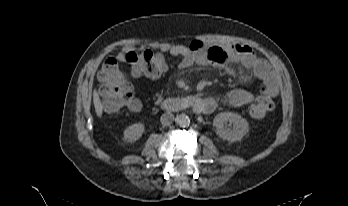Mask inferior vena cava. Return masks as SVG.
Instances as JSON below:
<instances>
[{
  "label": "inferior vena cava",
  "mask_w": 348,
  "mask_h": 206,
  "mask_svg": "<svg viewBox=\"0 0 348 206\" xmlns=\"http://www.w3.org/2000/svg\"><path fill=\"white\" fill-rule=\"evenodd\" d=\"M174 120V115L171 112H166L161 116V123L169 125Z\"/></svg>",
  "instance_id": "obj_1"
}]
</instances>
